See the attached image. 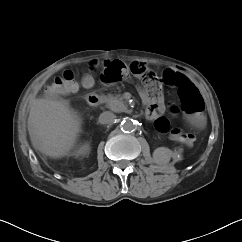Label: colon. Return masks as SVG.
<instances>
[{"label": "colon", "instance_id": "5ec220e1", "mask_svg": "<svg viewBox=\"0 0 242 242\" xmlns=\"http://www.w3.org/2000/svg\"><path fill=\"white\" fill-rule=\"evenodd\" d=\"M98 68L97 62L89 64V70L94 72ZM133 74L142 79L148 93L160 97L162 93L161 86L153 71L148 69L142 63H133L129 68H122L118 61H107L104 69L100 73V79L106 83H115L120 81L124 75ZM164 81L171 87L178 88V95L181 101L182 109L188 114H198L203 109V100L198 89L183 74L166 71ZM80 84L75 74L67 70L61 76L56 77L53 82L46 88L48 95H61L72 93L78 90ZM156 128L161 133H170L172 137L179 140L184 132L179 128H170L167 118L159 117L155 122ZM192 137V141H193ZM180 141V140H179Z\"/></svg>", "mask_w": 242, "mask_h": 242}]
</instances>
